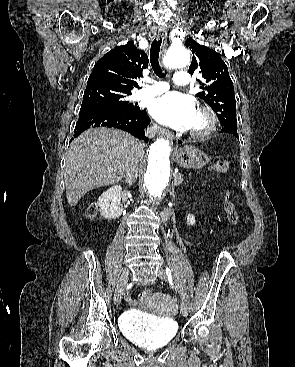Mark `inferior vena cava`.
<instances>
[{
	"label": "inferior vena cava",
	"instance_id": "1",
	"mask_svg": "<svg viewBox=\"0 0 295 367\" xmlns=\"http://www.w3.org/2000/svg\"><path fill=\"white\" fill-rule=\"evenodd\" d=\"M157 130H158L157 126H152L151 128L146 130V136L149 137V138L154 137ZM138 166H139V164L132 163L131 165H129L127 167V169L125 171L126 182L129 185H132V183H134L137 180Z\"/></svg>",
	"mask_w": 295,
	"mask_h": 367
}]
</instances>
